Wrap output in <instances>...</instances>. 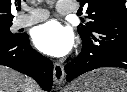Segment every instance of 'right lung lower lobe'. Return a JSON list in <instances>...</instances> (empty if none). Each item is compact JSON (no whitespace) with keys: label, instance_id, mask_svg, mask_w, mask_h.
Instances as JSON below:
<instances>
[{"label":"right lung lower lobe","instance_id":"right-lung-lower-lobe-1","mask_svg":"<svg viewBox=\"0 0 127 92\" xmlns=\"http://www.w3.org/2000/svg\"><path fill=\"white\" fill-rule=\"evenodd\" d=\"M0 64L33 77L44 90H51L53 63L32 49L27 34L17 40L0 39Z\"/></svg>","mask_w":127,"mask_h":92}]
</instances>
